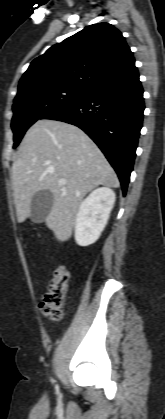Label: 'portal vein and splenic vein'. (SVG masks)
<instances>
[{
	"label": "portal vein and splenic vein",
	"mask_w": 165,
	"mask_h": 419,
	"mask_svg": "<svg viewBox=\"0 0 165 419\" xmlns=\"http://www.w3.org/2000/svg\"><path fill=\"white\" fill-rule=\"evenodd\" d=\"M60 184H61V185H65V184H66V180H65V179H61V180H60Z\"/></svg>",
	"instance_id": "portal-vein-and-splenic-vein-1"
}]
</instances>
